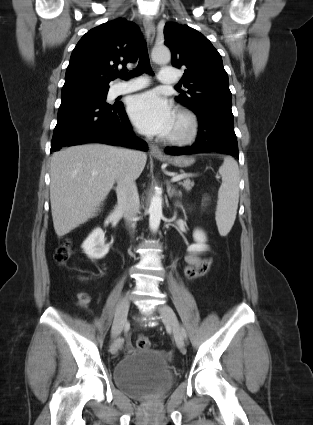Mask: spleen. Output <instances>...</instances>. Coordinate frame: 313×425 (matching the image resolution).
<instances>
[{"label":"spleen","instance_id":"obj_1","mask_svg":"<svg viewBox=\"0 0 313 425\" xmlns=\"http://www.w3.org/2000/svg\"><path fill=\"white\" fill-rule=\"evenodd\" d=\"M219 174L222 176V184L218 191L215 219L220 235L226 236L236 219L239 202L240 174L237 162L225 156Z\"/></svg>","mask_w":313,"mask_h":425}]
</instances>
